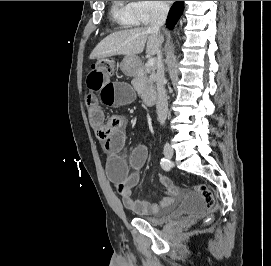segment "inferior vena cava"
Masks as SVG:
<instances>
[{"label":"inferior vena cava","instance_id":"1","mask_svg":"<svg viewBox=\"0 0 271 266\" xmlns=\"http://www.w3.org/2000/svg\"><path fill=\"white\" fill-rule=\"evenodd\" d=\"M169 11V6L165 3L158 2L155 4L152 20L148 30L157 35L160 34V28L164 25L167 14ZM161 44V43H160ZM160 47V45H159ZM165 77H164V67L162 63L161 50H158V67H157V100H156V112L158 120L161 124L165 123L168 114V103L167 95L164 88Z\"/></svg>","mask_w":271,"mask_h":266}]
</instances>
